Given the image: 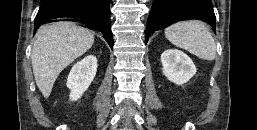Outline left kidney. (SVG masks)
Returning <instances> with one entry per match:
<instances>
[{"label":"left kidney","instance_id":"obj_1","mask_svg":"<svg viewBox=\"0 0 257 130\" xmlns=\"http://www.w3.org/2000/svg\"><path fill=\"white\" fill-rule=\"evenodd\" d=\"M161 62L165 77L177 85L188 82L197 71L190 57L177 49L165 50Z\"/></svg>","mask_w":257,"mask_h":130}]
</instances>
